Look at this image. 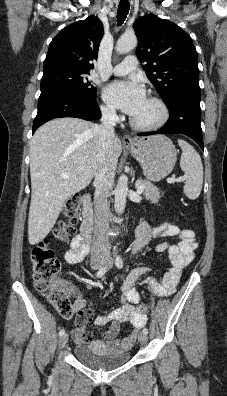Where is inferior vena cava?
Wrapping results in <instances>:
<instances>
[{
    "label": "inferior vena cava",
    "instance_id": "obj_1",
    "mask_svg": "<svg viewBox=\"0 0 227 396\" xmlns=\"http://www.w3.org/2000/svg\"><path fill=\"white\" fill-rule=\"evenodd\" d=\"M101 124L97 126L99 143L102 151L100 166L95 174L94 186V212L95 226L92 242L93 256H108L109 251V204L108 196L113 187L117 161L113 158L111 140L115 137L114 126L117 115L114 109L103 108L101 110Z\"/></svg>",
    "mask_w": 227,
    "mask_h": 396
}]
</instances>
